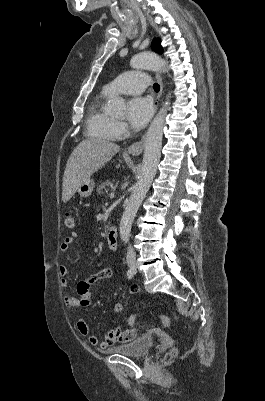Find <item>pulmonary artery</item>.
I'll return each mask as SVG.
<instances>
[{"label":"pulmonary artery","instance_id":"e3ab8cb5","mask_svg":"<svg viewBox=\"0 0 265 401\" xmlns=\"http://www.w3.org/2000/svg\"><path fill=\"white\" fill-rule=\"evenodd\" d=\"M149 77L144 73L126 72L125 75H119L117 81L106 85V90L115 94L120 92L122 95H141L142 90L148 88Z\"/></svg>","mask_w":265,"mask_h":401}]
</instances>
